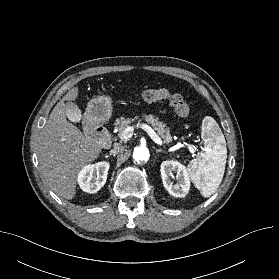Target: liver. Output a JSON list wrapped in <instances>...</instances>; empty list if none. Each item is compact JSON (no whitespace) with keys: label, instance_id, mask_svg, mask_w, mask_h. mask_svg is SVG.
<instances>
[{"label":"liver","instance_id":"1","mask_svg":"<svg viewBox=\"0 0 279 279\" xmlns=\"http://www.w3.org/2000/svg\"><path fill=\"white\" fill-rule=\"evenodd\" d=\"M79 88L74 87L53 108L45 126L39 133L37 155L39 168L48 187L64 199L76 195L79 171L96 160L102 147L86 137L79 128L67 121L66 100L77 98Z\"/></svg>","mask_w":279,"mask_h":279}]
</instances>
